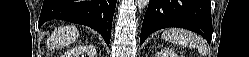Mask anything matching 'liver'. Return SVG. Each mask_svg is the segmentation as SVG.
<instances>
[{
	"mask_svg": "<svg viewBox=\"0 0 249 57\" xmlns=\"http://www.w3.org/2000/svg\"><path fill=\"white\" fill-rule=\"evenodd\" d=\"M79 32L76 26L68 25L55 28L48 44L53 48H61L77 41Z\"/></svg>",
	"mask_w": 249,
	"mask_h": 57,
	"instance_id": "6515ba94",
	"label": "liver"
}]
</instances>
